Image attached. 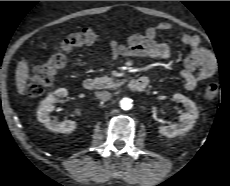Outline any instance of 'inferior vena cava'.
I'll return each instance as SVG.
<instances>
[{
    "label": "inferior vena cava",
    "mask_w": 230,
    "mask_h": 186,
    "mask_svg": "<svg viewBox=\"0 0 230 186\" xmlns=\"http://www.w3.org/2000/svg\"><path fill=\"white\" fill-rule=\"evenodd\" d=\"M96 97L103 101H108L111 99L112 94L108 91L96 92Z\"/></svg>",
    "instance_id": "obj_1"
}]
</instances>
